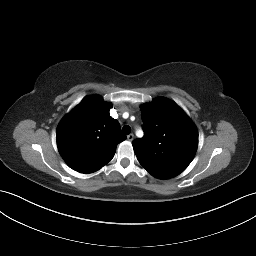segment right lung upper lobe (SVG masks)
Listing matches in <instances>:
<instances>
[{
	"label": "right lung upper lobe",
	"mask_w": 256,
	"mask_h": 256,
	"mask_svg": "<svg viewBox=\"0 0 256 256\" xmlns=\"http://www.w3.org/2000/svg\"><path fill=\"white\" fill-rule=\"evenodd\" d=\"M111 107L100 96H89L58 125V150L73 170L84 174L99 170L126 139L118 121L110 116Z\"/></svg>",
	"instance_id": "right-lung-upper-lobe-1"
}]
</instances>
